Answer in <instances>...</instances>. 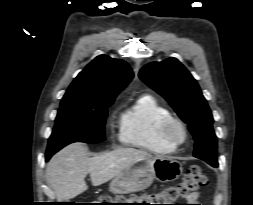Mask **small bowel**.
<instances>
[{"label":"small bowel","instance_id":"1","mask_svg":"<svg viewBox=\"0 0 253 205\" xmlns=\"http://www.w3.org/2000/svg\"><path fill=\"white\" fill-rule=\"evenodd\" d=\"M199 197L200 195L198 193H195L191 195L190 197H188V202L192 203L190 205H202V204H196V203H199Z\"/></svg>","mask_w":253,"mask_h":205}]
</instances>
